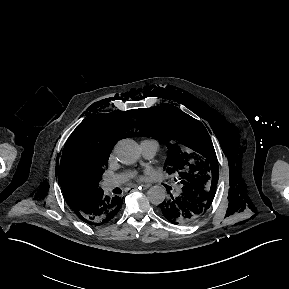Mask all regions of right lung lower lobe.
Here are the masks:
<instances>
[{
  "label": "right lung lower lobe",
  "instance_id": "obj_1",
  "mask_svg": "<svg viewBox=\"0 0 289 289\" xmlns=\"http://www.w3.org/2000/svg\"><path fill=\"white\" fill-rule=\"evenodd\" d=\"M122 199L118 196L104 195L103 190L95 194L91 200L74 213L82 221L90 225H101L110 221L119 211Z\"/></svg>",
  "mask_w": 289,
  "mask_h": 289
}]
</instances>
